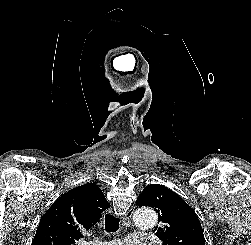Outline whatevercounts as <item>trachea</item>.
<instances>
[{
    "instance_id": "3493384b",
    "label": "trachea",
    "mask_w": 251,
    "mask_h": 245,
    "mask_svg": "<svg viewBox=\"0 0 251 245\" xmlns=\"http://www.w3.org/2000/svg\"><path fill=\"white\" fill-rule=\"evenodd\" d=\"M120 219L112 214L105 215V229L107 232H116L119 229Z\"/></svg>"
}]
</instances>
